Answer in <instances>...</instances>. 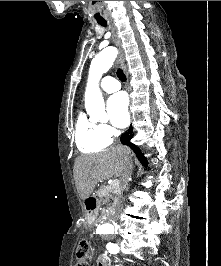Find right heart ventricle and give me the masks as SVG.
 I'll return each instance as SVG.
<instances>
[{"label":"right heart ventricle","instance_id":"1","mask_svg":"<svg viewBox=\"0 0 221 266\" xmlns=\"http://www.w3.org/2000/svg\"><path fill=\"white\" fill-rule=\"evenodd\" d=\"M75 142L82 153H97L110 143L101 130V125L89 120L81 113L76 121Z\"/></svg>","mask_w":221,"mask_h":266}]
</instances>
